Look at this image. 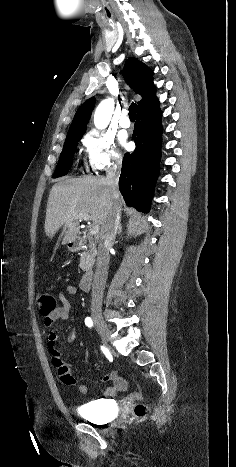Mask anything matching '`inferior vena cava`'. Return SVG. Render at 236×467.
<instances>
[{
	"mask_svg": "<svg viewBox=\"0 0 236 467\" xmlns=\"http://www.w3.org/2000/svg\"><path fill=\"white\" fill-rule=\"evenodd\" d=\"M119 175L120 166L118 164H113L106 171V180L114 199H117L119 197ZM119 222L120 207L115 206L112 212L110 213V216L108 217L106 223L102 226L100 232L96 270L91 293V304L93 307H101L102 305L103 291L107 280L108 265L110 260L109 249L114 243Z\"/></svg>",
	"mask_w": 236,
	"mask_h": 467,
	"instance_id": "inferior-vena-cava-1",
	"label": "inferior vena cava"
}]
</instances>
